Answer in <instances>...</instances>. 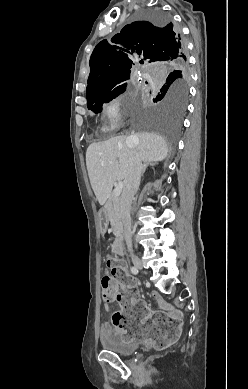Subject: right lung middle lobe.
Here are the masks:
<instances>
[{"mask_svg": "<svg viewBox=\"0 0 248 389\" xmlns=\"http://www.w3.org/2000/svg\"><path fill=\"white\" fill-rule=\"evenodd\" d=\"M142 18L155 25L164 26L171 22L170 16L161 10L143 12ZM129 78L116 79L106 88H102L87 97L88 109L94 113L102 111V104L109 102L123 93ZM190 72L187 63L172 61L160 67L156 77L157 88L153 94L154 102H158L153 111L137 110L135 115L144 128L155 131L165 137L170 146L176 143V132L187 107Z\"/></svg>", "mask_w": 248, "mask_h": 389, "instance_id": "1", "label": "right lung middle lobe"}]
</instances>
